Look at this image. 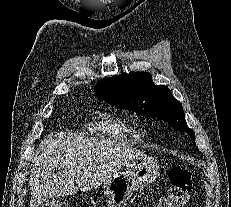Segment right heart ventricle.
Listing matches in <instances>:
<instances>
[{
	"mask_svg": "<svg viewBox=\"0 0 231 207\" xmlns=\"http://www.w3.org/2000/svg\"><path fill=\"white\" fill-rule=\"evenodd\" d=\"M89 130L99 137L115 140H132L139 136L138 129L129 119L110 110L97 112Z\"/></svg>",
	"mask_w": 231,
	"mask_h": 207,
	"instance_id": "right-heart-ventricle-1",
	"label": "right heart ventricle"
}]
</instances>
